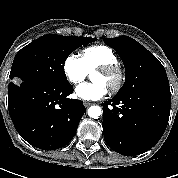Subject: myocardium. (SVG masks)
I'll list each match as a JSON object with an SVG mask.
<instances>
[{
	"label": "myocardium",
	"instance_id": "myocardium-1",
	"mask_svg": "<svg viewBox=\"0 0 178 178\" xmlns=\"http://www.w3.org/2000/svg\"><path fill=\"white\" fill-rule=\"evenodd\" d=\"M96 72L103 73L113 78V84L110 88L112 93L117 92L124 82V72L117 64H107L95 69Z\"/></svg>",
	"mask_w": 178,
	"mask_h": 178
}]
</instances>
